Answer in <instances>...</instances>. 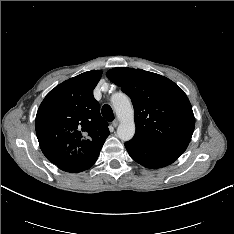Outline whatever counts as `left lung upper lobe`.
Here are the masks:
<instances>
[{
    "label": "left lung upper lobe",
    "instance_id": "obj_1",
    "mask_svg": "<svg viewBox=\"0 0 234 234\" xmlns=\"http://www.w3.org/2000/svg\"><path fill=\"white\" fill-rule=\"evenodd\" d=\"M106 75L132 100L136 125L132 141L190 142L195 118L189 99L177 84L141 69L117 67Z\"/></svg>",
    "mask_w": 234,
    "mask_h": 234
}]
</instances>
